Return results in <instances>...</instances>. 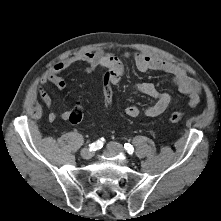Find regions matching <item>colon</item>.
Returning <instances> with one entry per match:
<instances>
[{
  "label": "colon",
  "mask_w": 221,
  "mask_h": 221,
  "mask_svg": "<svg viewBox=\"0 0 221 221\" xmlns=\"http://www.w3.org/2000/svg\"><path fill=\"white\" fill-rule=\"evenodd\" d=\"M103 78L100 81L102 86L103 94V105L102 110L105 113H110L114 109V92H113V81L111 78L114 76V71L112 67L105 66L102 69ZM84 116V108L80 104L75 105L69 114L68 120L72 123H79ZM184 113L180 111H174L169 114V121L172 123H177L183 120Z\"/></svg>",
  "instance_id": "5ec220e1"
}]
</instances>
